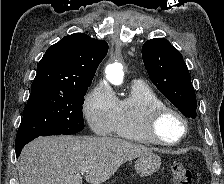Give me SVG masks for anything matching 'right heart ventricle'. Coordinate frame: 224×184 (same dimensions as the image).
Here are the masks:
<instances>
[{
    "label": "right heart ventricle",
    "mask_w": 224,
    "mask_h": 184,
    "mask_svg": "<svg viewBox=\"0 0 224 184\" xmlns=\"http://www.w3.org/2000/svg\"><path fill=\"white\" fill-rule=\"evenodd\" d=\"M164 104L155 91L146 84L134 82L127 95L117 99L111 133L138 143H149L143 132L148 110Z\"/></svg>",
    "instance_id": "obj_1"
}]
</instances>
